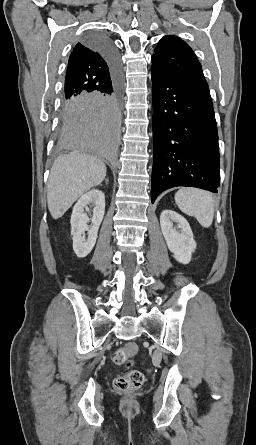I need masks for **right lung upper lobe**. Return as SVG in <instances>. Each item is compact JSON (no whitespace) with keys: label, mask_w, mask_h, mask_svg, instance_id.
<instances>
[{"label":"right lung upper lobe","mask_w":256,"mask_h":445,"mask_svg":"<svg viewBox=\"0 0 256 445\" xmlns=\"http://www.w3.org/2000/svg\"><path fill=\"white\" fill-rule=\"evenodd\" d=\"M110 83L111 71L101 51L85 42L78 43L69 57L63 98L94 93Z\"/></svg>","instance_id":"1"}]
</instances>
